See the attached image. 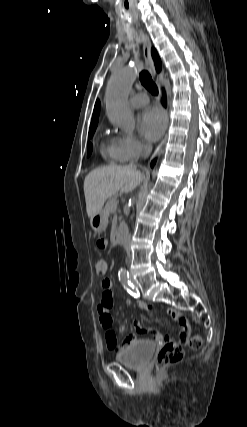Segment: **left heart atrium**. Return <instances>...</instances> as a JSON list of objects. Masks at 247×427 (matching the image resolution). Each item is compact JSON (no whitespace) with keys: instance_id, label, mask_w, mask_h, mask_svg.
<instances>
[{"instance_id":"1","label":"left heart atrium","mask_w":247,"mask_h":427,"mask_svg":"<svg viewBox=\"0 0 247 427\" xmlns=\"http://www.w3.org/2000/svg\"><path fill=\"white\" fill-rule=\"evenodd\" d=\"M139 127L142 135L147 140L156 141L165 130V115L156 107L148 108L140 115Z\"/></svg>"}]
</instances>
